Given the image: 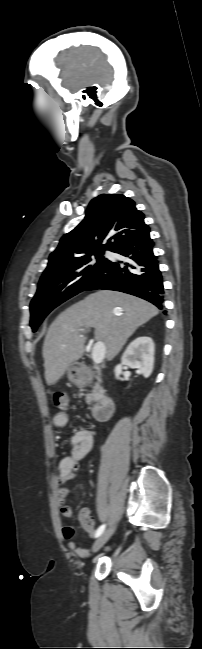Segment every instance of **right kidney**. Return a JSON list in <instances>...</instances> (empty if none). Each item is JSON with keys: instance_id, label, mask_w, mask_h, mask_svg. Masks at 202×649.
<instances>
[{"instance_id": "ca27d5eb", "label": "right kidney", "mask_w": 202, "mask_h": 649, "mask_svg": "<svg viewBox=\"0 0 202 649\" xmlns=\"http://www.w3.org/2000/svg\"><path fill=\"white\" fill-rule=\"evenodd\" d=\"M154 365V342L151 337L139 336L126 348L121 363L115 369L116 379H120L124 367L136 368L137 372L148 378Z\"/></svg>"}]
</instances>
